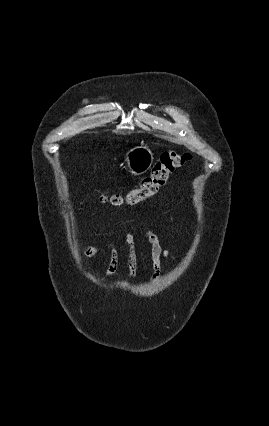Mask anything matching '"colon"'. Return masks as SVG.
Masks as SVG:
<instances>
[{
	"instance_id": "1",
	"label": "colon",
	"mask_w": 269,
	"mask_h": 426,
	"mask_svg": "<svg viewBox=\"0 0 269 426\" xmlns=\"http://www.w3.org/2000/svg\"><path fill=\"white\" fill-rule=\"evenodd\" d=\"M190 159L187 152L167 151L161 154L138 186L125 194H116L109 198L114 205L135 206L143 200L154 196L167 182L169 176Z\"/></svg>"
}]
</instances>
